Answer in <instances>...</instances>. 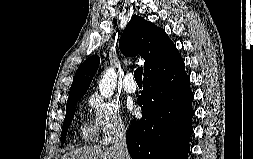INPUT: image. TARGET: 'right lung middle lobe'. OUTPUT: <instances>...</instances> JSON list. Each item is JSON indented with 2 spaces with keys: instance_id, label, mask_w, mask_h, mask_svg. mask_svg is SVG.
Instances as JSON below:
<instances>
[{
  "instance_id": "right-lung-middle-lobe-1",
  "label": "right lung middle lobe",
  "mask_w": 253,
  "mask_h": 159,
  "mask_svg": "<svg viewBox=\"0 0 253 159\" xmlns=\"http://www.w3.org/2000/svg\"><path fill=\"white\" fill-rule=\"evenodd\" d=\"M80 98H75L70 101H67L66 105V116L64 119L63 127H62V133H61V142L65 141L66 133L68 130V127L74 117L75 114V105L77 104V101L80 100Z\"/></svg>"
}]
</instances>
